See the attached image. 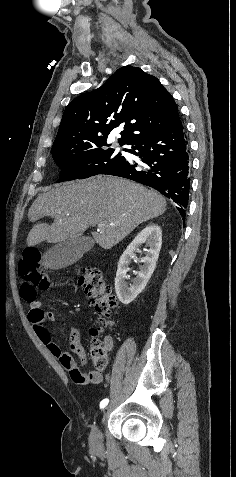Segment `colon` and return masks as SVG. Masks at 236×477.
<instances>
[{"label":"colon","mask_w":236,"mask_h":477,"mask_svg":"<svg viewBox=\"0 0 236 477\" xmlns=\"http://www.w3.org/2000/svg\"><path fill=\"white\" fill-rule=\"evenodd\" d=\"M18 273L22 279L21 295L27 302H32L38 290H46L53 285L51 276L42 265V257L35 248L26 249L18 263ZM78 285L83 289L94 306L99 318L100 327L111 324L109 316L116 307L117 301L111 288L105 284L103 274L99 269L87 268L77 279ZM94 340L91 345V355L94 366L102 371L107 366V351L104 344L96 339L97 330L92 332Z\"/></svg>","instance_id":"colon-1"}]
</instances>
